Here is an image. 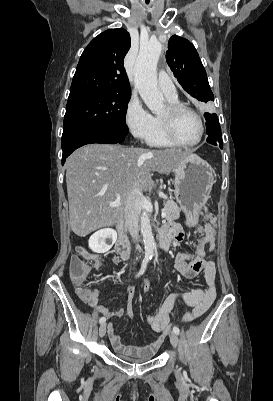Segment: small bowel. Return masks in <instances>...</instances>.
Masks as SVG:
<instances>
[{"label":"small bowel","instance_id":"small-bowel-1","mask_svg":"<svg viewBox=\"0 0 273 401\" xmlns=\"http://www.w3.org/2000/svg\"><path fill=\"white\" fill-rule=\"evenodd\" d=\"M205 221L206 224L199 229L200 237L195 250L190 253H178L174 261L176 270L185 278L189 279L192 272H197L198 277L202 275L205 286L187 292L168 295L156 312L146 318L148 325L156 333L161 334L168 329L171 320L176 316L178 303H183L189 308L184 314L183 320L191 321L204 314L216 298V265L212 260L206 258V253L207 248H213L215 243L216 234L214 228L217 218L215 215H207ZM162 231L172 240L180 239L185 233L183 228H176L173 225L166 226ZM85 258H90L91 261H94L96 269L102 266V261L95 255L86 254ZM114 261L117 263L119 260L115 258ZM126 290L129 298L126 312L122 309L112 310L103 306L99 300L101 291L97 290L94 284L89 285L88 290H78L75 296V303L89 305L102 319L108 321L106 331L115 351L123 355L151 356L157 350L158 345L165 344L166 339L164 336H157L156 343L134 348L122 342L115 331L114 324L109 321L113 317L133 319L131 300L134 297L135 288L127 285Z\"/></svg>","mask_w":273,"mask_h":401}]
</instances>
